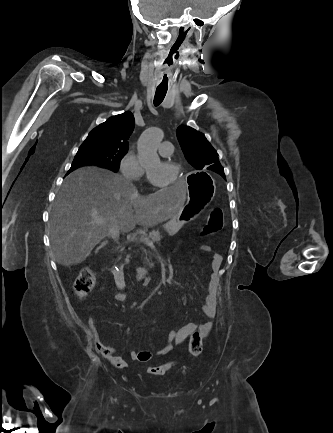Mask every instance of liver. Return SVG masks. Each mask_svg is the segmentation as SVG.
Returning <instances> with one entry per match:
<instances>
[{
  "label": "liver",
  "mask_w": 333,
  "mask_h": 433,
  "mask_svg": "<svg viewBox=\"0 0 333 433\" xmlns=\"http://www.w3.org/2000/svg\"><path fill=\"white\" fill-rule=\"evenodd\" d=\"M167 188L170 192L158 191L145 198L128 179L107 169L91 166L73 171L51 207L55 260L63 266L83 262L112 226L126 232L131 229L130 220L153 227L178 215L181 201L189 200L187 183H170Z\"/></svg>",
  "instance_id": "6515ba94"
}]
</instances>
